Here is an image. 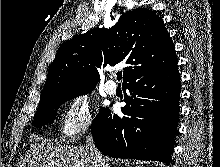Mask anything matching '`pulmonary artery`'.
<instances>
[{"label": "pulmonary artery", "instance_id": "1", "mask_svg": "<svg viewBox=\"0 0 220 167\" xmlns=\"http://www.w3.org/2000/svg\"><path fill=\"white\" fill-rule=\"evenodd\" d=\"M105 91L109 95H113L116 92L117 86L114 82L112 81H107L104 85Z\"/></svg>", "mask_w": 220, "mask_h": 167}]
</instances>
